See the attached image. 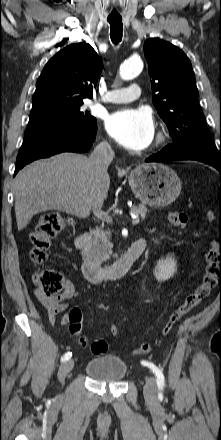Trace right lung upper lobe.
I'll return each mask as SVG.
<instances>
[{"label":"right lung upper lobe","mask_w":221,"mask_h":440,"mask_svg":"<svg viewBox=\"0 0 221 440\" xmlns=\"http://www.w3.org/2000/svg\"><path fill=\"white\" fill-rule=\"evenodd\" d=\"M102 61L90 44L74 43L52 57L44 67L33 95V108L53 103L79 104L93 96Z\"/></svg>","instance_id":"cb5924a9"}]
</instances>
